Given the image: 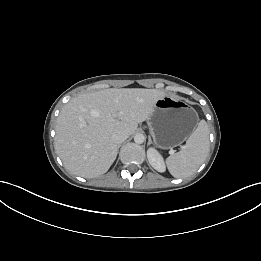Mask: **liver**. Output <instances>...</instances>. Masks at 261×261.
<instances>
[{"mask_svg": "<svg viewBox=\"0 0 261 261\" xmlns=\"http://www.w3.org/2000/svg\"><path fill=\"white\" fill-rule=\"evenodd\" d=\"M165 93L156 89L111 88L72 98L56 122L55 149L71 173L98 177L116 159L112 135L133 134Z\"/></svg>", "mask_w": 261, "mask_h": 261, "instance_id": "obj_1", "label": "liver"}]
</instances>
